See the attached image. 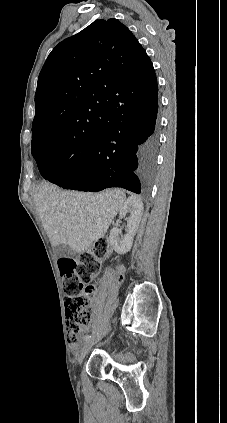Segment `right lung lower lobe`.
<instances>
[{"mask_svg": "<svg viewBox=\"0 0 227 423\" xmlns=\"http://www.w3.org/2000/svg\"><path fill=\"white\" fill-rule=\"evenodd\" d=\"M158 88L108 109L113 124L103 128L88 156L49 179L65 189L96 192L121 187L137 194L150 187L159 144ZM41 174L47 167L39 168Z\"/></svg>", "mask_w": 227, "mask_h": 423, "instance_id": "obj_1", "label": "right lung lower lobe"}]
</instances>
